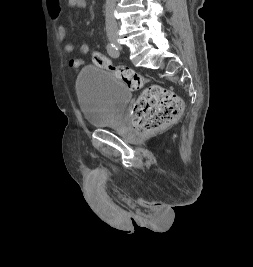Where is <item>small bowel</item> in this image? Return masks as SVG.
<instances>
[{"label": "small bowel", "instance_id": "small-bowel-1", "mask_svg": "<svg viewBox=\"0 0 253 267\" xmlns=\"http://www.w3.org/2000/svg\"><path fill=\"white\" fill-rule=\"evenodd\" d=\"M67 5L71 8L82 9L86 6L87 0H66ZM48 10L50 15L58 20L61 17L62 11L59 0H47ZM57 37L60 42L63 43V50L66 53H72L75 47L72 43L67 41V31L66 28L60 24L57 28Z\"/></svg>", "mask_w": 253, "mask_h": 267}]
</instances>
